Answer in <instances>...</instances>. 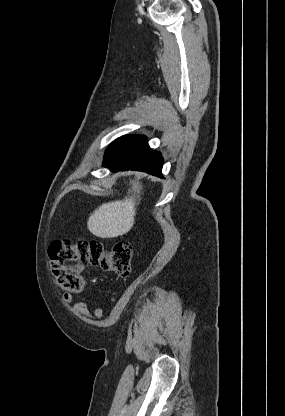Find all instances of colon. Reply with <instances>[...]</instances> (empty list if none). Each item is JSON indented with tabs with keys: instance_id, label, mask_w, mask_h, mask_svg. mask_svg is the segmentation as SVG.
<instances>
[{
	"instance_id": "5ec220e1",
	"label": "colon",
	"mask_w": 285,
	"mask_h": 416,
	"mask_svg": "<svg viewBox=\"0 0 285 416\" xmlns=\"http://www.w3.org/2000/svg\"><path fill=\"white\" fill-rule=\"evenodd\" d=\"M132 246L127 241H118L105 248L97 241L58 240L49 247L58 285L68 292H80L85 286L81 272L86 265L110 271L119 277L130 274Z\"/></svg>"
}]
</instances>
